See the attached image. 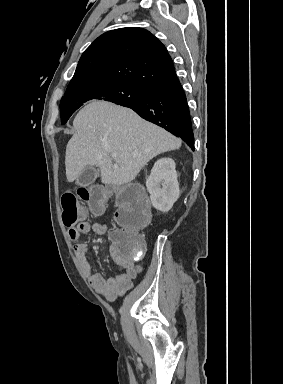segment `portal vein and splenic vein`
Wrapping results in <instances>:
<instances>
[{
  "label": "portal vein and splenic vein",
  "instance_id": "18ae733b",
  "mask_svg": "<svg viewBox=\"0 0 283 384\" xmlns=\"http://www.w3.org/2000/svg\"><path fill=\"white\" fill-rule=\"evenodd\" d=\"M112 156H116V154H112Z\"/></svg>",
  "mask_w": 283,
  "mask_h": 384
}]
</instances>
